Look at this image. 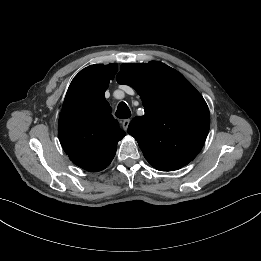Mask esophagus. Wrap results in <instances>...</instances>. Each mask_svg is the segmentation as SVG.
<instances>
[{
    "instance_id": "34e87169",
    "label": "esophagus",
    "mask_w": 261,
    "mask_h": 261,
    "mask_svg": "<svg viewBox=\"0 0 261 261\" xmlns=\"http://www.w3.org/2000/svg\"><path fill=\"white\" fill-rule=\"evenodd\" d=\"M129 124H130V119L123 120L122 126H123L124 130L128 129Z\"/></svg>"
}]
</instances>
